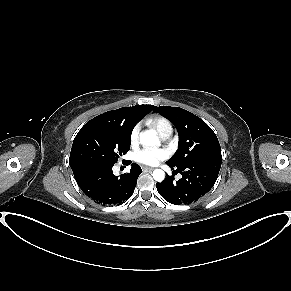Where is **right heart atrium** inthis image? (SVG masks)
Returning <instances> with one entry per match:
<instances>
[{
  "label": "right heart atrium",
  "mask_w": 291,
  "mask_h": 291,
  "mask_svg": "<svg viewBox=\"0 0 291 291\" xmlns=\"http://www.w3.org/2000/svg\"><path fill=\"white\" fill-rule=\"evenodd\" d=\"M139 133H140V125L139 124H136L131 132H130V142L131 144H135L138 139H139Z\"/></svg>",
  "instance_id": "obj_1"
}]
</instances>
